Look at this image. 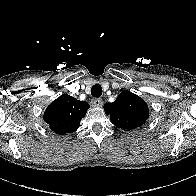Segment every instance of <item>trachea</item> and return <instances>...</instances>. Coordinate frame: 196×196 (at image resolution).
Here are the masks:
<instances>
[{
  "label": "trachea",
  "mask_w": 196,
  "mask_h": 196,
  "mask_svg": "<svg viewBox=\"0 0 196 196\" xmlns=\"http://www.w3.org/2000/svg\"><path fill=\"white\" fill-rule=\"evenodd\" d=\"M91 95L95 98H99L102 95V87L98 84L92 86Z\"/></svg>",
  "instance_id": "obj_1"
}]
</instances>
